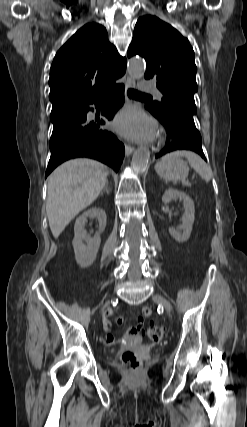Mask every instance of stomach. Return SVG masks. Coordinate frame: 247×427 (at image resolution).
<instances>
[{
    "instance_id": "0dacf381",
    "label": "stomach",
    "mask_w": 247,
    "mask_h": 427,
    "mask_svg": "<svg viewBox=\"0 0 247 427\" xmlns=\"http://www.w3.org/2000/svg\"><path fill=\"white\" fill-rule=\"evenodd\" d=\"M157 173L166 181L183 180L189 173V167L180 157L165 163H159Z\"/></svg>"
}]
</instances>
